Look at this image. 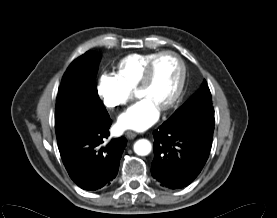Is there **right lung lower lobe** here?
Wrapping results in <instances>:
<instances>
[{"label":"right lung lower lobe","instance_id":"obj_1","mask_svg":"<svg viewBox=\"0 0 277 218\" xmlns=\"http://www.w3.org/2000/svg\"><path fill=\"white\" fill-rule=\"evenodd\" d=\"M111 123L108 115L93 129L59 149L69 176L82 189L94 191L107 187L118 173L127 140L120 137L104 144Z\"/></svg>","mask_w":277,"mask_h":218}]
</instances>
